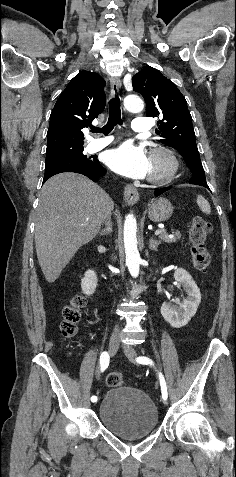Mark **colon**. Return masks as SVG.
<instances>
[{
    "instance_id": "obj_1",
    "label": "colon",
    "mask_w": 236,
    "mask_h": 477,
    "mask_svg": "<svg viewBox=\"0 0 236 477\" xmlns=\"http://www.w3.org/2000/svg\"><path fill=\"white\" fill-rule=\"evenodd\" d=\"M210 232V223L201 218L195 219L189 230L192 262L195 268L201 271L206 270L211 262V256L206 247L207 238ZM85 304L86 301L84 297L75 296L63 307V320L60 324V331L64 339H70L76 334ZM106 383L110 387L121 386L123 384L121 374L118 372L109 373L106 378Z\"/></svg>"
}]
</instances>
